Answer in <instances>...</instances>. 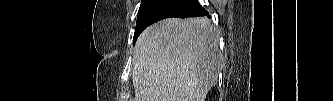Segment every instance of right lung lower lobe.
I'll return each instance as SVG.
<instances>
[{
	"mask_svg": "<svg viewBox=\"0 0 333 101\" xmlns=\"http://www.w3.org/2000/svg\"><path fill=\"white\" fill-rule=\"evenodd\" d=\"M208 12L198 0H147L138 11L134 41L149 25L169 17L204 16Z\"/></svg>",
	"mask_w": 333,
	"mask_h": 101,
	"instance_id": "1",
	"label": "right lung lower lobe"
}]
</instances>
